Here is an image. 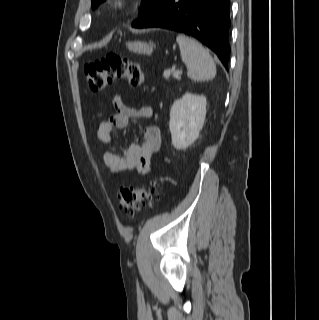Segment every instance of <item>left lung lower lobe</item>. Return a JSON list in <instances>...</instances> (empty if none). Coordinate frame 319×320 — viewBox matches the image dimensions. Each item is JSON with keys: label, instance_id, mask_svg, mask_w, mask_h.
I'll use <instances>...</instances> for the list:
<instances>
[{"label": "left lung lower lobe", "instance_id": "1", "mask_svg": "<svg viewBox=\"0 0 319 320\" xmlns=\"http://www.w3.org/2000/svg\"><path fill=\"white\" fill-rule=\"evenodd\" d=\"M229 13L230 0H160L132 26L162 27L191 35L209 47L227 69Z\"/></svg>", "mask_w": 319, "mask_h": 320}]
</instances>
